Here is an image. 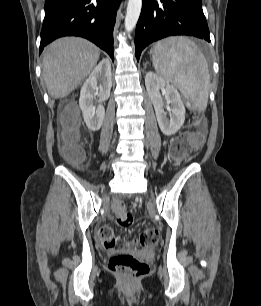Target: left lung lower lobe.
I'll return each instance as SVG.
<instances>
[{"label":"left lung lower lobe","mask_w":261,"mask_h":306,"mask_svg":"<svg viewBox=\"0 0 261 306\" xmlns=\"http://www.w3.org/2000/svg\"><path fill=\"white\" fill-rule=\"evenodd\" d=\"M172 35L195 36L210 42L201 0H143L135 33L137 60L150 43Z\"/></svg>","instance_id":"0a47b994"}]
</instances>
